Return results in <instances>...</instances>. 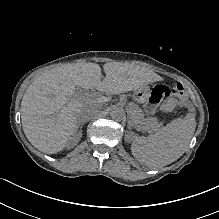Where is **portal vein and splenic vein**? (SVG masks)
Masks as SVG:
<instances>
[{
  "mask_svg": "<svg viewBox=\"0 0 219 219\" xmlns=\"http://www.w3.org/2000/svg\"><path fill=\"white\" fill-rule=\"evenodd\" d=\"M89 95H90V93H77V94H75V97H77V98L81 97V99H82V97H87Z\"/></svg>",
  "mask_w": 219,
  "mask_h": 219,
  "instance_id": "portal-vein-and-splenic-vein-1",
  "label": "portal vein and splenic vein"
}]
</instances>
